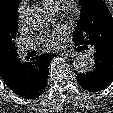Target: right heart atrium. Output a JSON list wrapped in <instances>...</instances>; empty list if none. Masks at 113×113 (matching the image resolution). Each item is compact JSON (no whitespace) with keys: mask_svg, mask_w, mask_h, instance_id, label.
I'll use <instances>...</instances> for the list:
<instances>
[{"mask_svg":"<svg viewBox=\"0 0 113 113\" xmlns=\"http://www.w3.org/2000/svg\"><path fill=\"white\" fill-rule=\"evenodd\" d=\"M26 7H27V4L25 1H22L20 6H19V19L22 21L23 18H24V15H25V12H26Z\"/></svg>","mask_w":113,"mask_h":113,"instance_id":"right-heart-atrium-1","label":"right heart atrium"}]
</instances>
